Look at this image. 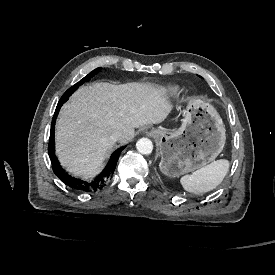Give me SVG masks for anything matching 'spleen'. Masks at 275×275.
I'll return each instance as SVG.
<instances>
[{
  "label": "spleen",
  "instance_id": "spleen-1",
  "mask_svg": "<svg viewBox=\"0 0 275 275\" xmlns=\"http://www.w3.org/2000/svg\"><path fill=\"white\" fill-rule=\"evenodd\" d=\"M228 169V161L217 160L194 171L191 175L181 177L180 184L189 193H206L216 188L222 182Z\"/></svg>",
  "mask_w": 275,
  "mask_h": 275
}]
</instances>
